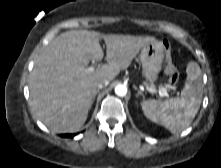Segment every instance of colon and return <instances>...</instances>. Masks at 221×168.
<instances>
[{"mask_svg": "<svg viewBox=\"0 0 221 168\" xmlns=\"http://www.w3.org/2000/svg\"><path fill=\"white\" fill-rule=\"evenodd\" d=\"M165 46H166V51H165L164 71L165 74L168 76L169 83L174 86L178 82L179 73L176 66L173 64L171 47L167 41L165 42Z\"/></svg>", "mask_w": 221, "mask_h": 168, "instance_id": "colon-1", "label": "colon"}]
</instances>
